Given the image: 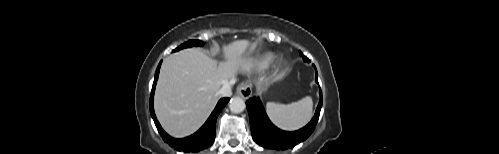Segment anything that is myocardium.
Masks as SVG:
<instances>
[{"label":"myocardium","mask_w":499,"mask_h":154,"mask_svg":"<svg viewBox=\"0 0 499 154\" xmlns=\"http://www.w3.org/2000/svg\"><path fill=\"white\" fill-rule=\"evenodd\" d=\"M279 68H283V63L280 64Z\"/></svg>","instance_id":"f54148a6"}]
</instances>
